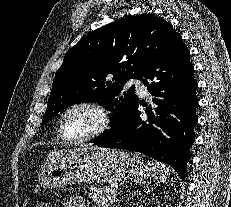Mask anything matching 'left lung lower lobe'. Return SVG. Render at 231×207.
<instances>
[{
	"label": "left lung lower lobe",
	"instance_id": "0a47b994",
	"mask_svg": "<svg viewBox=\"0 0 231 207\" xmlns=\"http://www.w3.org/2000/svg\"><path fill=\"white\" fill-rule=\"evenodd\" d=\"M190 52L180 37L152 58L139 80L154 96L155 106L141 114L138 100L122 116L116 130L99 136L95 144L144 153L172 166L185 180L197 123V82ZM143 77L145 79H143Z\"/></svg>",
	"mask_w": 231,
	"mask_h": 207
}]
</instances>
